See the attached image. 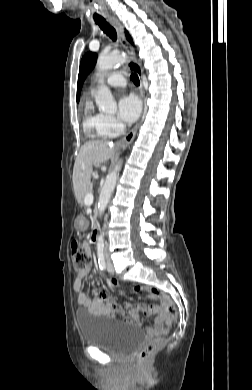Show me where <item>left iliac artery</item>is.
Segmentation results:
<instances>
[{"mask_svg":"<svg viewBox=\"0 0 252 390\" xmlns=\"http://www.w3.org/2000/svg\"><path fill=\"white\" fill-rule=\"evenodd\" d=\"M97 256L98 264L101 270L105 269V258H104V243L100 242L97 245Z\"/></svg>","mask_w":252,"mask_h":390,"instance_id":"44dca946","label":"left iliac artery"}]
</instances>
